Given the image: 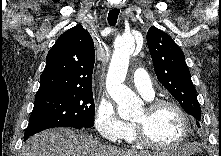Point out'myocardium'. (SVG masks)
<instances>
[{
	"label": "myocardium",
	"instance_id": "obj_1",
	"mask_svg": "<svg viewBox=\"0 0 221 156\" xmlns=\"http://www.w3.org/2000/svg\"><path fill=\"white\" fill-rule=\"evenodd\" d=\"M163 107H171L179 114L183 123L182 135L173 144H170V145L158 144L152 141L148 137L143 124L134 121L133 122L134 138L139 144L149 147V148L157 149V150H170V149H174L182 145L188 138L190 131H191L190 119L186 111L177 102L168 100V99H157V100L151 101L148 104L147 110L149 114L152 115Z\"/></svg>",
	"mask_w": 221,
	"mask_h": 156
}]
</instances>
